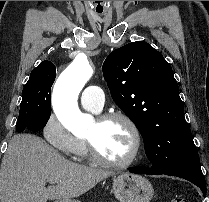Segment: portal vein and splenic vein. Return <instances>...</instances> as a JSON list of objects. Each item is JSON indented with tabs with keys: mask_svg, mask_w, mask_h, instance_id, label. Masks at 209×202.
Here are the masks:
<instances>
[{
	"mask_svg": "<svg viewBox=\"0 0 209 202\" xmlns=\"http://www.w3.org/2000/svg\"><path fill=\"white\" fill-rule=\"evenodd\" d=\"M47 181H48L49 183H51V184L58 183L55 179H48Z\"/></svg>",
	"mask_w": 209,
	"mask_h": 202,
	"instance_id": "1",
	"label": "portal vein and splenic vein"
}]
</instances>
